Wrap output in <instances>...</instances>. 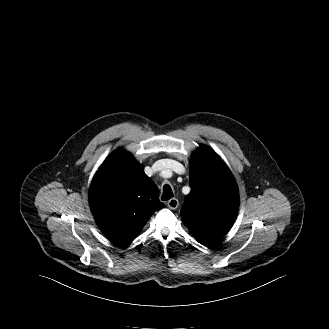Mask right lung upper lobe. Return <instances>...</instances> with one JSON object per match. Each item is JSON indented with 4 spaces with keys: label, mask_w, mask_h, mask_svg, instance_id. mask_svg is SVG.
<instances>
[{
    "label": "right lung upper lobe",
    "mask_w": 329,
    "mask_h": 329,
    "mask_svg": "<svg viewBox=\"0 0 329 329\" xmlns=\"http://www.w3.org/2000/svg\"><path fill=\"white\" fill-rule=\"evenodd\" d=\"M143 169L131 154L119 149L106 158L92 180L91 211L114 244L129 245L148 218L164 207Z\"/></svg>",
    "instance_id": "obj_1"
}]
</instances>
